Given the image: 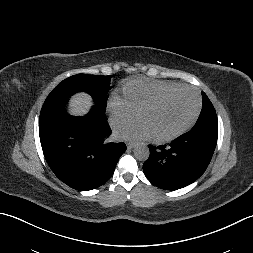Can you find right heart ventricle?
<instances>
[{
    "label": "right heart ventricle",
    "mask_w": 253,
    "mask_h": 253,
    "mask_svg": "<svg viewBox=\"0 0 253 253\" xmlns=\"http://www.w3.org/2000/svg\"><path fill=\"white\" fill-rule=\"evenodd\" d=\"M177 86V83L172 82L137 79L129 81L123 87V95L129 105L137 111L143 104Z\"/></svg>",
    "instance_id": "e07e8e85"
}]
</instances>
